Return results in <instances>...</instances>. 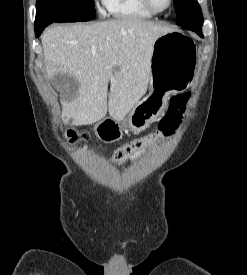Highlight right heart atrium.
I'll return each mask as SVG.
<instances>
[{
  "instance_id": "right-heart-atrium-1",
  "label": "right heart atrium",
  "mask_w": 247,
  "mask_h": 275,
  "mask_svg": "<svg viewBox=\"0 0 247 275\" xmlns=\"http://www.w3.org/2000/svg\"><path fill=\"white\" fill-rule=\"evenodd\" d=\"M106 2L107 0H95V6L100 13H104L105 9H107Z\"/></svg>"
}]
</instances>
